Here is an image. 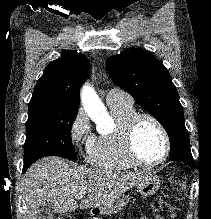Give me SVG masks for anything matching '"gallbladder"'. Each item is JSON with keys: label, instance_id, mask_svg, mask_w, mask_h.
Here are the masks:
<instances>
[{"label": "gallbladder", "instance_id": "bac80fb5", "mask_svg": "<svg viewBox=\"0 0 211 219\" xmlns=\"http://www.w3.org/2000/svg\"><path fill=\"white\" fill-rule=\"evenodd\" d=\"M37 219H53V205L51 202L44 201L38 208Z\"/></svg>", "mask_w": 211, "mask_h": 219}]
</instances>
